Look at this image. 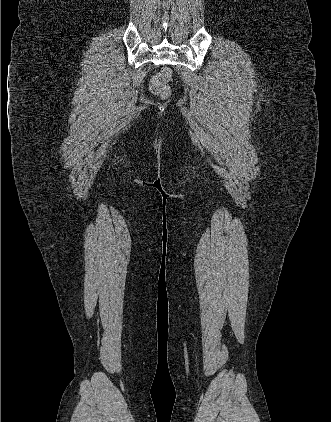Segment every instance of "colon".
Returning a JSON list of instances; mask_svg holds the SVG:
<instances>
[{
	"label": "colon",
	"instance_id": "1",
	"mask_svg": "<svg viewBox=\"0 0 331 422\" xmlns=\"http://www.w3.org/2000/svg\"><path fill=\"white\" fill-rule=\"evenodd\" d=\"M171 78V70L168 67L163 68L155 74L151 80L150 88L152 93L167 98L170 95L169 81Z\"/></svg>",
	"mask_w": 331,
	"mask_h": 422
}]
</instances>
